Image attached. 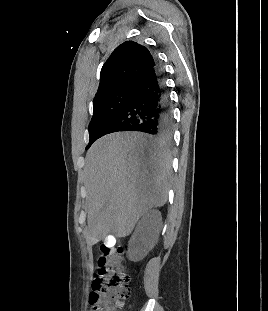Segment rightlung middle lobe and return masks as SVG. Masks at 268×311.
Instances as JSON below:
<instances>
[{"label": "right lung middle lobe", "mask_w": 268, "mask_h": 311, "mask_svg": "<svg viewBox=\"0 0 268 311\" xmlns=\"http://www.w3.org/2000/svg\"><path fill=\"white\" fill-rule=\"evenodd\" d=\"M136 84L122 86L96 100H93V117L89 124V144L86 150L104 135L106 128L129 102Z\"/></svg>", "instance_id": "1"}]
</instances>
